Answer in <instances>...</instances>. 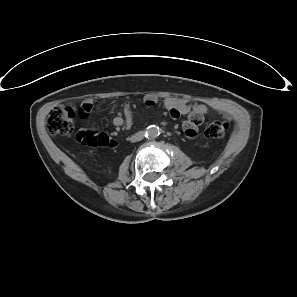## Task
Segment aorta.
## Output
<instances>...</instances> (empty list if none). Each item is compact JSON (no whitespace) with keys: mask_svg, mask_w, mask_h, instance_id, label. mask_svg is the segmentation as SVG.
Segmentation results:
<instances>
[{"mask_svg":"<svg viewBox=\"0 0 297 297\" xmlns=\"http://www.w3.org/2000/svg\"><path fill=\"white\" fill-rule=\"evenodd\" d=\"M161 132H162L161 128L159 126H156V125L151 126L150 129H149V133L153 137L160 135Z\"/></svg>","mask_w":297,"mask_h":297,"instance_id":"obj_1","label":"aorta"}]
</instances>
